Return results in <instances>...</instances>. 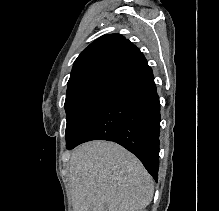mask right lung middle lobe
<instances>
[{"instance_id":"dd1d6c3e","label":"right lung middle lobe","mask_w":219,"mask_h":211,"mask_svg":"<svg viewBox=\"0 0 219 211\" xmlns=\"http://www.w3.org/2000/svg\"><path fill=\"white\" fill-rule=\"evenodd\" d=\"M113 88L114 86H96L66 98V147L68 149Z\"/></svg>"}]
</instances>
